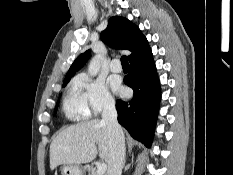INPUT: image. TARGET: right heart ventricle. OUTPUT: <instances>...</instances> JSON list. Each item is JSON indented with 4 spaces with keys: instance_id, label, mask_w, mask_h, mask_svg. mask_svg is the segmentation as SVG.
Returning <instances> with one entry per match:
<instances>
[{
    "instance_id": "right-heart-ventricle-1",
    "label": "right heart ventricle",
    "mask_w": 233,
    "mask_h": 175,
    "mask_svg": "<svg viewBox=\"0 0 233 175\" xmlns=\"http://www.w3.org/2000/svg\"><path fill=\"white\" fill-rule=\"evenodd\" d=\"M63 112L66 118L73 121L85 120L90 116L88 106L73 84L63 101Z\"/></svg>"
}]
</instances>
